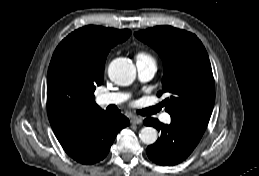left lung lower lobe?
I'll return each mask as SVG.
<instances>
[{"instance_id": "1", "label": "left lung lower lobe", "mask_w": 259, "mask_h": 176, "mask_svg": "<svg viewBox=\"0 0 259 176\" xmlns=\"http://www.w3.org/2000/svg\"><path fill=\"white\" fill-rule=\"evenodd\" d=\"M161 132L160 138L146 149L148 157L159 165H175L185 160L199 143L205 129L194 125L171 120L164 125L154 118L143 122Z\"/></svg>"}]
</instances>
